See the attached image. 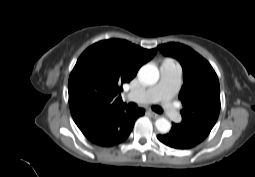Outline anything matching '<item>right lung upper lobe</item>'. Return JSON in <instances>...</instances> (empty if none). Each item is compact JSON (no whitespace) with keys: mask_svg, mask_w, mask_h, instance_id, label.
Instances as JSON below:
<instances>
[{"mask_svg":"<svg viewBox=\"0 0 255 177\" xmlns=\"http://www.w3.org/2000/svg\"><path fill=\"white\" fill-rule=\"evenodd\" d=\"M156 49H144L126 40L99 41L77 60L68 83L69 106L75 123L124 105L119 95Z\"/></svg>","mask_w":255,"mask_h":177,"instance_id":"cb5924a9","label":"right lung upper lobe"}]
</instances>
